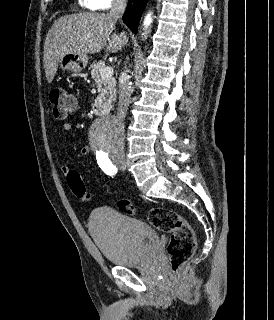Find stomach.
I'll list each match as a JSON object with an SVG mask.
<instances>
[{
	"label": "stomach",
	"mask_w": 274,
	"mask_h": 320,
	"mask_svg": "<svg viewBox=\"0 0 274 320\" xmlns=\"http://www.w3.org/2000/svg\"><path fill=\"white\" fill-rule=\"evenodd\" d=\"M88 64V56H78V54H65L59 62L60 68L62 70H68V72H73V74H79L82 70H85Z\"/></svg>",
	"instance_id": "1"
}]
</instances>
